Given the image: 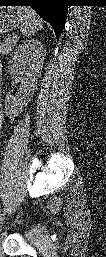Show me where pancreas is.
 <instances>
[{"mask_svg": "<svg viewBox=\"0 0 106 257\" xmlns=\"http://www.w3.org/2000/svg\"><path fill=\"white\" fill-rule=\"evenodd\" d=\"M18 42V37H5L0 42V54L8 55L16 46Z\"/></svg>", "mask_w": 106, "mask_h": 257, "instance_id": "pancreas-1", "label": "pancreas"}]
</instances>
